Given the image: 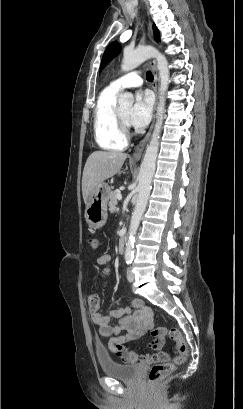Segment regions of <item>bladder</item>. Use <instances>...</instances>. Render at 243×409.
<instances>
[{
  "instance_id": "bladder-1",
  "label": "bladder",
  "mask_w": 243,
  "mask_h": 409,
  "mask_svg": "<svg viewBox=\"0 0 243 409\" xmlns=\"http://www.w3.org/2000/svg\"><path fill=\"white\" fill-rule=\"evenodd\" d=\"M98 362L105 375L121 381H135L141 372L140 364H123L111 358H98Z\"/></svg>"
}]
</instances>
